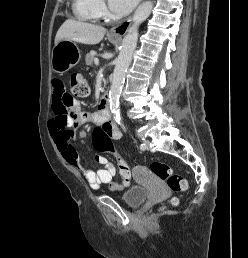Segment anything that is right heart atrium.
Instances as JSON below:
<instances>
[{
    "instance_id": "d8ad5b80",
    "label": "right heart atrium",
    "mask_w": 248,
    "mask_h": 258,
    "mask_svg": "<svg viewBox=\"0 0 248 258\" xmlns=\"http://www.w3.org/2000/svg\"><path fill=\"white\" fill-rule=\"evenodd\" d=\"M96 8L100 16L106 14V6L103 0H96Z\"/></svg>"
}]
</instances>
